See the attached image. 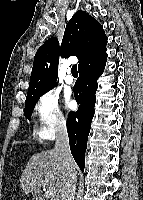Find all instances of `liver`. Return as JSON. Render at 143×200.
Returning <instances> with one entry per match:
<instances>
[{
	"label": "liver",
	"mask_w": 143,
	"mask_h": 200,
	"mask_svg": "<svg viewBox=\"0 0 143 200\" xmlns=\"http://www.w3.org/2000/svg\"><path fill=\"white\" fill-rule=\"evenodd\" d=\"M65 178L63 157L53 148L31 156L22 173L20 186L26 194L37 193L41 186H45L53 194V200H60Z\"/></svg>",
	"instance_id": "6515ba94"
}]
</instances>
